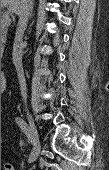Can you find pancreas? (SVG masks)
Here are the masks:
<instances>
[{
    "label": "pancreas",
    "instance_id": "obj_1",
    "mask_svg": "<svg viewBox=\"0 0 109 170\" xmlns=\"http://www.w3.org/2000/svg\"><path fill=\"white\" fill-rule=\"evenodd\" d=\"M6 34H7V28L2 27L1 28V41H2V44H4L5 41H6Z\"/></svg>",
    "mask_w": 109,
    "mask_h": 170
}]
</instances>
